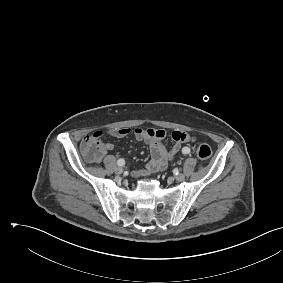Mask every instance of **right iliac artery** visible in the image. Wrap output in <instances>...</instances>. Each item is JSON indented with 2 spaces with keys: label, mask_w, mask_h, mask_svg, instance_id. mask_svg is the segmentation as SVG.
Here are the masks:
<instances>
[{
  "label": "right iliac artery",
  "mask_w": 283,
  "mask_h": 283,
  "mask_svg": "<svg viewBox=\"0 0 283 283\" xmlns=\"http://www.w3.org/2000/svg\"><path fill=\"white\" fill-rule=\"evenodd\" d=\"M118 166H124L125 165V160L124 159H119L117 161Z\"/></svg>",
  "instance_id": "right-iliac-artery-1"
}]
</instances>
